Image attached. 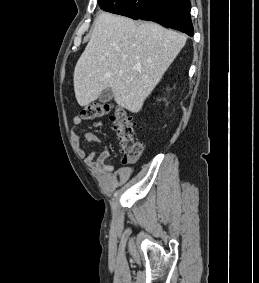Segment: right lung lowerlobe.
<instances>
[{"label": "right lung lower lobe", "mask_w": 259, "mask_h": 283, "mask_svg": "<svg viewBox=\"0 0 259 283\" xmlns=\"http://www.w3.org/2000/svg\"><path fill=\"white\" fill-rule=\"evenodd\" d=\"M104 11L157 22L193 36L189 0H98Z\"/></svg>", "instance_id": "98d812e1"}]
</instances>
